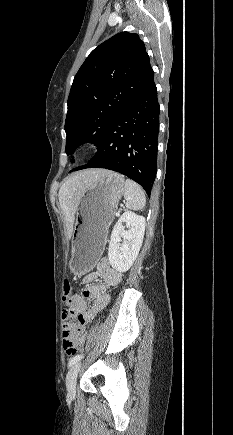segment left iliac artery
Wrapping results in <instances>:
<instances>
[{
    "instance_id": "44dca946",
    "label": "left iliac artery",
    "mask_w": 233,
    "mask_h": 435,
    "mask_svg": "<svg viewBox=\"0 0 233 435\" xmlns=\"http://www.w3.org/2000/svg\"><path fill=\"white\" fill-rule=\"evenodd\" d=\"M82 357H83V355H76V356L72 357V358L69 360L68 367H71L74 363H76L77 361H79Z\"/></svg>"
}]
</instances>
